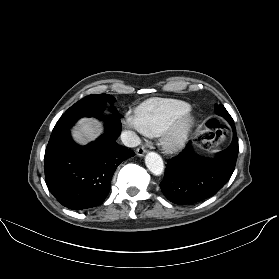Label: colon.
<instances>
[{"instance_id": "5ec220e1", "label": "colon", "mask_w": 279, "mask_h": 279, "mask_svg": "<svg viewBox=\"0 0 279 279\" xmlns=\"http://www.w3.org/2000/svg\"><path fill=\"white\" fill-rule=\"evenodd\" d=\"M225 138V127L216 119L208 120L200 130L198 143L204 148H214Z\"/></svg>"}]
</instances>
